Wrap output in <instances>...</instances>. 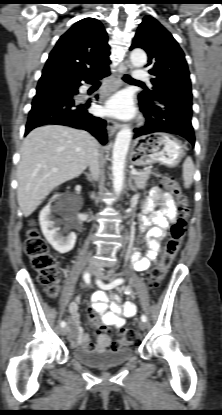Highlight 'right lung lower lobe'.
I'll use <instances>...</instances> for the list:
<instances>
[{
	"label": "right lung lower lobe",
	"instance_id": "1",
	"mask_svg": "<svg viewBox=\"0 0 222 415\" xmlns=\"http://www.w3.org/2000/svg\"><path fill=\"white\" fill-rule=\"evenodd\" d=\"M109 70L91 76L77 77L54 69L43 70L29 112L25 135L45 124H58L90 132L101 144L106 143V121L88 112L90 101L75 100L81 81L94 83L108 76Z\"/></svg>",
	"mask_w": 222,
	"mask_h": 415
}]
</instances>
